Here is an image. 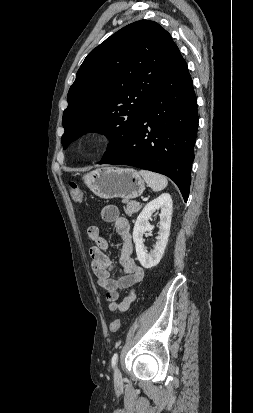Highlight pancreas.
I'll use <instances>...</instances> for the list:
<instances>
[{"label":"pancreas","instance_id":"cf45deb5","mask_svg":"<svg viewBox=\"0 0 253 413\" xmlns=\"http://www.w3.org/2000/svg\"><path fill=\"white\" fill-rule=\"evenodd\" d=\"M123 203L126 204L124 207V211L128 216H132L134 213L138 212L142 205H140L139 202L136 201H128V200H123Z\"/></svg>","mask_w":253,"mask_h":413}]
</instances>
